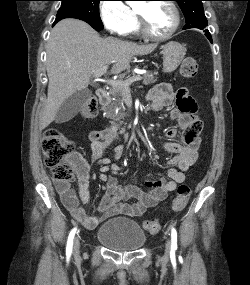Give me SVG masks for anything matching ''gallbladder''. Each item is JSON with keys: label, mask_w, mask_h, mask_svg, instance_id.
<instances>
[{"label": "gallbladder", "mask_w": 250, "mask_h": 285, "mask_svg": "<svg viewBox=\"0 0 250 285\" xmlns=\"http://www.w3.org/2000/svg\"><path fill=\"white\" fill-rule=\"evenodd\" d=\"M91 95L92 91L89 89H83L75 92L61 105L57 112L55 121L57 123H63L71 120L87 104Z\"/></svg>", "instance_id": "obj_1"}]
</instances>
